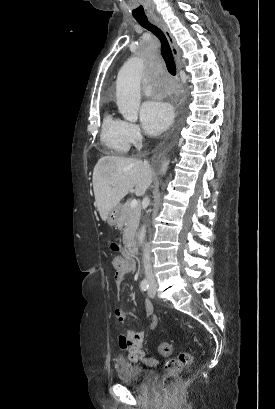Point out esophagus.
Segmentation results:
<instances>
[{
	"label": "esophagus",
	"instance_id": "34e87169",
	"mask_svg": "<svg viewBox=\"0 0 275 409\" xmlns=\"http://www.w3.org/2000/svg\"><path fill=\"white\" fill-rule=\"evenodd\" d=\"M151 21L153 23H155V25H157V27H159L162 30V32L164 33V35L166 36V38H167V40L169 42V45L171 47L172 54L175 57V60L177 61V67H178V69H180L181 68L180 53H179V50H178L177 45L175 43V40H174L173 36L171 35L167 25L159 17H153L151 19Z\"/></svg>",
	"mask_w": 275,
	"mask_h": 409
}]
</instances>
